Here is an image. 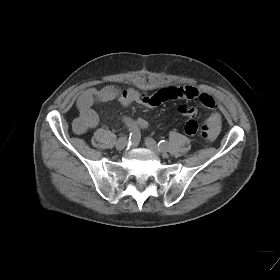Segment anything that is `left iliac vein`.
Here are the masks:
<instances>
[{
  "label": "left iliac vein",
  "mask_w": 280,
  "mask_h": 280,
  "mask_svg": "<svg viewBox=\"0 0 280 280\" xmlns=\"http://www.w3.org/2000/svg\"><path fill=\"white\" fill-rule=\"evenodd\" d=\"M145 145L148 149H150L153 153L159 155L163 152V149L159 147V145L155 142L154 139L147 137L145 139Z\"/></svg>",
  "instance_id": "obj_1"
}]
</instances>
